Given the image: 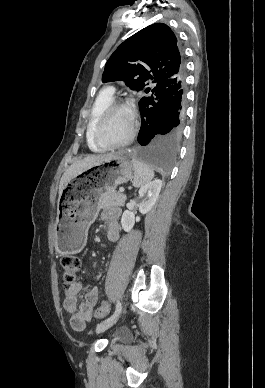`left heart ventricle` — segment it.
<instances>
[{
	"label": "left heart ventricle",
	"instance_id": "1",
	"mask_svg": "<svg viewBox=\"0 0 265 388\" xmlns=\"http://www.w3.org/2000/svg\"><path fill=\"white\" fill-rule=\"evenodd\" d=\"M131 116L124 110H113L107 114L100 126V137L109 143L121 140L129 131Z\"/></svg>",
	"mask_w": 265,
	"mask_h": 388
}]
</instances>
